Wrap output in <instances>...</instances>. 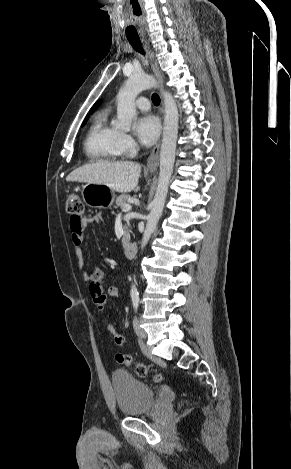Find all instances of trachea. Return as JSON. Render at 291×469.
<instances>
[{
  "mask_svg": "<svg viewBox=\"0 0 291 469\" xmlns=\"http://www.w3.org/2000/svg\"><path fill=\"white\" fill-rule=\"evenodd\" d=\"M127 39L136 51H138L141 54H144L141 41L138 37H127ZM152 102L154 105L160 104V97L158 96V94L154 93L152 95Z\"/></svg>",
  "mask_w": 291,
  "mask_h": 469,
  "instance_id": "obj_1",
  "label": "trachea"
}]
</instances>
